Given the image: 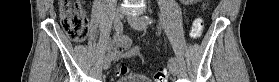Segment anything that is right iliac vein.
I'll return each instance as SVG.
<instances>
[{
  "label": "right iliac vein",
  "instance_id": "right-iliac-vein-1",
  "mask_svg": "<svg viewBox=\"0 0 279 82\" xmlns=\"http://www.w3.org/2000/svg\"><path fill=\"white\" fill-rule=\"evenodd\" d=\"M123 16V11L121 8H117L115 13H114V18L115 20H117L118 22H120V20L122 19ZM110 66V58L109 57H105L103 60V69L106 70L108 69Z\"/></svg>",
  "mask_w": 279,
  "mask_h": 82
}]
</instances>
